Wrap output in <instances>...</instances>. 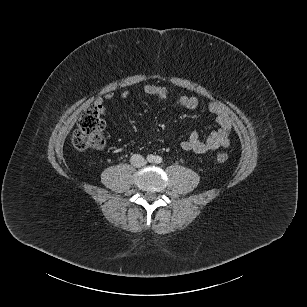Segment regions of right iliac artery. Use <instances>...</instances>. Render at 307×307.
Listing matches in <instances>:
<instances>
[{
    "label": "right iliac artery",
    "mask_w": 307,
    "mask_h": 307,
    "mask_svg": "<svg viewBox=\"0 0 307 307\" xmlns=\"http://www.w3.org/2000/svg\"><path fill=\"white\" fill-rule=\"evenodd\" d=\"M154 159H155V157L153 155H148V157H147V161L150 162V163L153 162Z\"/></svg>",
    "instance_id": "obj_1"
}]
</instances>
